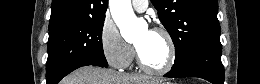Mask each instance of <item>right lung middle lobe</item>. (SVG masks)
<instances>
[{
	"instance_id": "obj_1",
	"label": "right lung middle lobe",
	"mask_w": 260,
	"mask_h": 84,
	"mask_svg": "<svg viewBox=\"0 0 260 84\" xmlns=\"http://www.w3.org/2000/svg\"><path fill=\"white\" fill-rule=\"evenodd\" d=\"M105 15L49 30L46 83L57 84L82 65L107 67L102 46Z\"/></svg>"
}]
</instances>
